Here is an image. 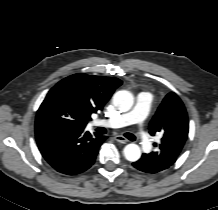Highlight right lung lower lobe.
<instances>
[{
	"label": "right lung lower lobe",
	"instance_id": "right-lung-lower-lobe-1",
	"mask_svg": "<svg viewBox=\"0 0 218 210\" xmlns=\"http://www.w3.org/2000/svg\"><path fill=\"white\" fill-rule=\"evenodd\" d=\"M35 136L44 159L57 172L66 175L89 169L105 140L99 134L84 133V128L69 129L54 123L35 124Z\"/></svg>",
	"mask_w": 218,
	"mask_h": 210
}]
</instances>
